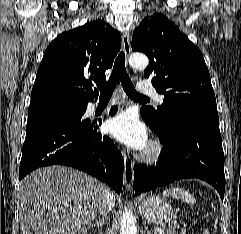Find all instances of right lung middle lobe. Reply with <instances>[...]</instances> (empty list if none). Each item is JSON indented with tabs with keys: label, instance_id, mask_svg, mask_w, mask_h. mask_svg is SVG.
Returning a JSON list of instances; mask_svg holds the SVG:
<instances>
[{
	"label": "right lung middle lobe",
	"instance_id": "right-lung-middle-lobe-1",
	"mask_svg": "<svg viewBox=\"0 0 241 234\" xmlns=\"http://www.w3.org/2000/svg\"><path fill=\"white\" fill-rule=\"evenodd\" d=\"M87 104L69 102H44L30 105L28 120L42 117H55L76 114L85 109Z\"/></svg>",
	"mask_w": 241,
	"mask_h": 234
}]
</instances>
